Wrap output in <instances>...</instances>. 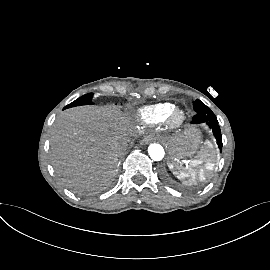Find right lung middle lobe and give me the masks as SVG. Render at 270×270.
<instances>
[{
	"label": "right lung middle lobe",
	"mask_w": 270,
	"mask_h": 270,
	"mask_svg": "<svg viewBox=\"0 0 270 270\" xmlns=\"http://www.w3.org/2000/svg\"><path fill=\"white\" fill-rule=\"evenodd\" d=\"M92 97H93V93H88L86 95H83L82 97L76 99L75 101L67 105L64 109L74 107V106L93 104Z\"/></svg>",
	"instance_id": "1"
}]
</instances>
